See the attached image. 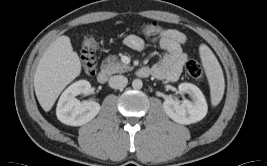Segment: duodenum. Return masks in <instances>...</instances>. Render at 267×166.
I'll use <instances>...</instances> for the list:
<instances>
[{"label": "duodenum", "instance_id": "duodenum-1", "mask_svg": "<svg viewBox=\"0 0 267 166\" xmlns=\"http://www.w3.org/2000/svg\"><path fill=\"white\" fill-rule=\"evenodd\" d=\"M137 76L146 77L149 75V70L146 67L139 68L136 71ZM97 81L101 84H104L108 81V72L104 69L100 70L97 73Z\"/></svg>", "mask_w": 267, "mask_h": 166}]
</instances>
